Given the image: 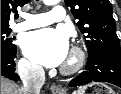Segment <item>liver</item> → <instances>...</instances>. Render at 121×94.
<instances>
[{"mask_svg": "<svg viewBox=\"0 0 121 94\" xmlns=\"http://www.w3.org/2000/svg\"><path fill=\"white\" fill-rule=\"evenodd\" d=\"M1 94H21V89L16 83L1 76Z\"/></svg>", "mask_w": 121, "mask_h": 94, "instance_id": "6515ba94", "label": "liver"}]
</instances>
